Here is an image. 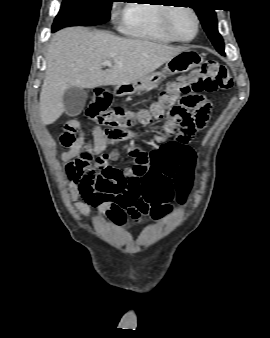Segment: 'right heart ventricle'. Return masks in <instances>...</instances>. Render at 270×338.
I'll list each match as a JSON object with an SVG mask.
<instances>
[{"label":"right heart ventricle","mask_w":270,"mask_h":338,"mask_svg":"<svg viewBox=\"0 0 270 338\" xmlns=\"http://www.w3.org/2000/svg\"><path fill=\"white\" fill-rule=\"evenodd\" d=\"M155 2L151 4H131L127 7L122 28L126 34L144 40L159 43H171L174 40L162 27L163 12L166 6Z\"/></svg>","instance_id":"e07e8e85"}]
</instances>
